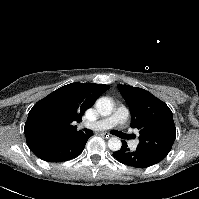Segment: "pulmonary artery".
<instances>
[{
  "label": "pulmonary artery",
  "instance_id": "1",
  "mask_svg": "<svg viewBox=\"0 0 199 199\" xmlns=\"http://www.w3.org/2000/svg\"><path fill=\"white\" fill-rule=\"evenodd\" d=\"M127 118L128 110L124 106H119L113 110V114L110 117L87 124V126L96 129H106L118 126L120 130H123ZM129 145L131 148L135 149L137 146V142L129 141Z\"/></svg>",
  "mask_w": 199,
  "mask_h": 199
}]
</instances>
